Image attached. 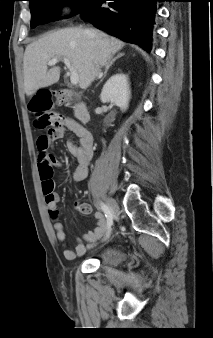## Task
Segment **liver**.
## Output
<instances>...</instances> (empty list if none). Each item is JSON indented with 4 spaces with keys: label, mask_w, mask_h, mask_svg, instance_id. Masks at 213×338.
<instances>
[{
    "label": "liver",
    "mask_w": 213,
    "mask_h": 338,
    "mask_svg": "<svg viewBox=\"0 0 213 338\" xmlns=\"http://www.w3.org/2000/svg\"><path fill=\"white\" fill-rule=\"evenodd\" d=\"M124 46V42L95 30L66 28L45 34L26 47L23 69L24 90L32 96L42 87L56 83L60 68H47L54 58H67L79 76V86L86 89L95 79L96 69L105 65Z\"/></svg>",
    "instance_id": "liver-1"
}]
</instances>
